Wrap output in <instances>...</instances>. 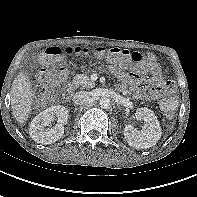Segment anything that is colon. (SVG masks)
<instances>
[{
	"label": "colon",
	"mask_w": 197,
	"mask_h": 197,
	"mask_svg": "<svg viewBox=\"0 0 197 197\" xmlns=\"http://www.w3.org/2000/svg\"><path fill=\"white\" fill-rule=\"evenodd\" d=\"M91 52L84 47H49L42 55V62L53 66L54 69H47L40 76L39 84L35 89L36 95L46 97L51 94L54 88L65 80L67 76L61 58L63 55H88ZM93 54L98 57H105L112 61H122L124 63H133L136 66L146 69L155 64V57L152 53L144 51H130L123 48L105 49L95 48ZM162 109L166 118L171 119L177 108V99L171 95L162 101Z\"/></svg>",
	"instance_id": "obj_1"
}]
</instances>
